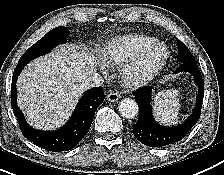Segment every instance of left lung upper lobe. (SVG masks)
Returning a JSON list of instances; mask_svg holds the SVG:
<instances>
[{
    "label": "left lung upper lobe",
    "instance_id": "obj_1",
    "mask_svg": "<svg viewBox=\"0 0 224 175\" xmlns=\"http://www.w3.org/2000/svg\"><path fill=\"white\" fill-rule=\"evenodd\" d=\"M178 60L180 63H196L193 55L188 50L187 46L182 43L181 41H178Z\"/></svg>",
    "mask_w": 224,
    "mask_h": 175
}]
</instances>
